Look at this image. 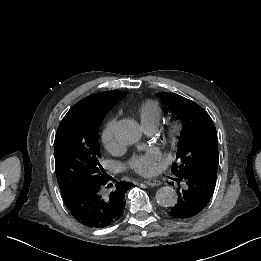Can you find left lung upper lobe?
Instances as JSON below:
<instances>
[{
	"label": "left lung upper lobe",
	"mask_w": 261,
	"mask_h": 261,
	"mask_svg": "<svg viewBox=\"0 0 261 261\" xmlns=\"http://www.w3.org/2000/svg\"><path fill=\"white\" fill-rule=\"evenodd\" d=\"M165 105L182 119L177 159L172 172L180 177L194 172L216 180L218 167V138L209 114L195 102L173 93H158Z\"/></svg>",
	"instance_id": "1"
}]
</instances>
